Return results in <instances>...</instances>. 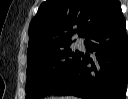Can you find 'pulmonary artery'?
I'll list each match as a JSON object with an SVG mask.
<instances>
[{
    "label": "pulmonary artery",
    "mask_w": 128,
    "mask_h": 99,
    "mask_svg": "<svg viewBox=\"0 0 128 99\" xmlns=\"http://www.w3.org/2000/svg\"><path fill=\"white\" fill-rule=\"evenodd\" d=\"M81 44H82V42H81V41H79V42H78V45H81Z\"/></svg>",
    "instance_id": "obj_1"
}]
</instances>
